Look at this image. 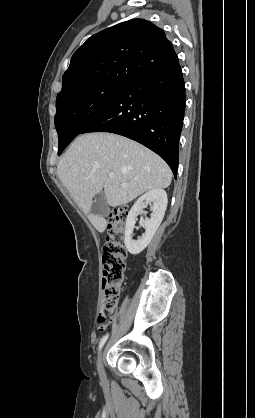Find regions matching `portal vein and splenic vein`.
I'll return each mask as SVG.
<instances>
[{
  "mask_svg": "<svg viewBox=\"0 0 255 418\" xmlns=\"http://www.w3.org/2000/svg\"><path fill=\"white\" fill-rule=\"evenodd\" d=\"M109 177H114V174L113 173H109Z\"/></svg>",
  "mask_w": 255,
  "mask_h": 418,
  "instance_id": "portal-vein-and-splenic-vein-1",
  "label": "portal vein and splenic vein"
}]
</instances>
